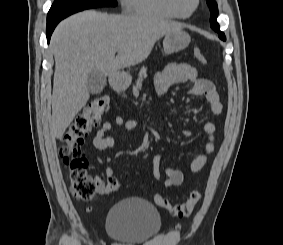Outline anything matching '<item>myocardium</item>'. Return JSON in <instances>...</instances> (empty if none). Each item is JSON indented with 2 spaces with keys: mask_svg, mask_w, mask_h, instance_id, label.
<instances>
[{
  "mask_svg": "<svg viewBox=\"0 0 283 245\" xmlns=\"http://www.w3.org/2000/svg\"><path fill=\"white\" fill-rule=\"evenodd\" d=\"M174 10L181 18H188L197 10L200 0H171ZM189 1V4L187 2Z\"/></svg>",
  "mask_w": 283,
  "mask_h": 245,
  "instance_id": "f54148a6",
  "label": "myocardium"
}]
</instances>
